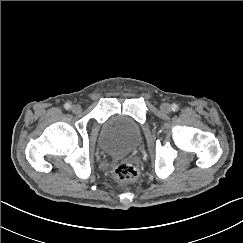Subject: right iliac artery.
Instances as JSON below:
<instances>
[{
	"instance_id": "right-iliac-artery-1",
	"label": "right iliac artery",
	"mask_w": 243,
	"mask_h": 243,
	"mask_svg": "<svg viewBox=\"0 0 243 243\" xmlns=\"http://www.w3.org/2000/svg\"><path fill=\"white\" fill-rule=\"evenodd\" d=\"M64 108L66 110H69L71 108V104L70 103H65Z\"/></svg>"
}]
</instances>
